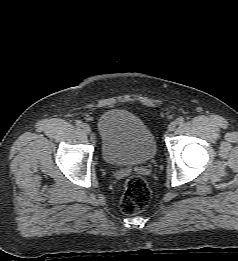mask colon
<instances>
[{
  "instance_id": "obj_1",
  "label": "colon",
  "mask_w": 238,
  "mask_h": 261,
  "mask_svg": "<svg viewBox=\"0 0 238 261\" xmlns=\"http://www.w3.org/2000/svg\"><path fill=\"white\" fill-rule=\"evenodd\" d=\"M124 188L120 201L121 211L127 215L141 212L148 205L151 197V191L145 179L138 175H131L126 179Z\"/></svg>"
}]
</instances>
